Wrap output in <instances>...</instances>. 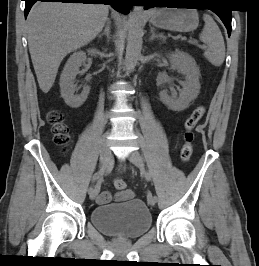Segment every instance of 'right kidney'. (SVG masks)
<instances>
[{"mask_svg":"<svg viewBox=\"0 0 259 266\" xmlns=\"http://www.w3.org/2000/svg\"><path fill=\"white\" fill-rule=\"evenodd\" d=\"M87 52L92 55L97 54L96 49H89ZM85 61L86 53L84 51L74 52L68 59L60 77L61 96L71 108L80 107L86 101L90 92V88L86 86L80 95H74V80L79 72V68Z\"/></svg>","mask_w":259,"mask_h":266,"instance_id":"right-kidney-1","label":"right kidney"}]
</instances>
